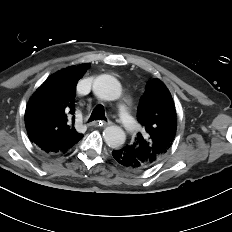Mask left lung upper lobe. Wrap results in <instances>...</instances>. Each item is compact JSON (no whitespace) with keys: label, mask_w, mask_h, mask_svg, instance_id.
<instances>
[{"label":"left lung upper lobe","mask_w":232,"mask_h":232,"mask_svg":"<svg viewBox=\"0 0 232 232\" xmlns=\"http://www.w3.org/2000/svg\"><path fill=\"white\" fill-rule=\"evenodd\" d=\"M142 132L127 145L133 155L148 169L163 159L172 146L177 130V114L172 96L159 79H152L138 107Z\"/></svg>","instance_id":"1"}]
</instances>
